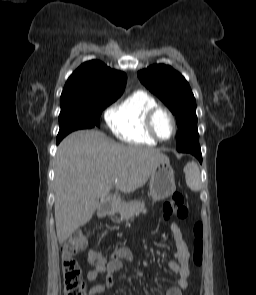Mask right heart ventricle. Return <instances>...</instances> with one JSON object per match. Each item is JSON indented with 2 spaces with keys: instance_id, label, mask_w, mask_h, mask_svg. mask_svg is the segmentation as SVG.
Here are the masks:
<instances>
[{
  "instance_id": "right-heart-ventricle-1",
  "label": "right heart ventricle",
  "mask_w": 256,
  "mask_h": 295,
  "mask_svg": "<svg viewBox=\"0 0 256 295\" xmlns=\"http://www.w3.org/2000/svg\"><path fill=\"white\" fill-rule=\"evenodd\" d=\"M158 106L156 99L144 90H136L111 108L107 124L120 140L139 145H156L148 133L145 118L148 111Z\"/></svg>"
}]
</instances>
